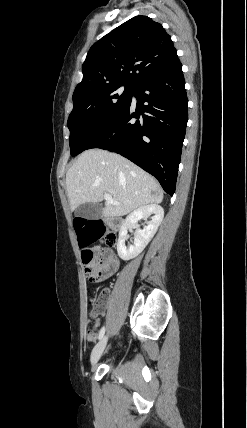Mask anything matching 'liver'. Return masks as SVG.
Returning <instances> with one entry per match:
<instances>
[{
	"mask_svg": "<svg viewBox=\"0 0 247 428\" xmlns=\"http://www.w3.org/2000/svg\"><path fill=\"white\" fill-rule=\"evenodd\" d=\"M71 210L98 203L107 193L119 204L107 202L104 217L124 216L150 204H159L163 193L150 174L116 153L102 149L84 151L66 173Z\"/></svg>",
	"mask_w": 247,
	"mask_h": 428,
	"instance_id": "1",
	"label": "liver"
}]
</instances>
